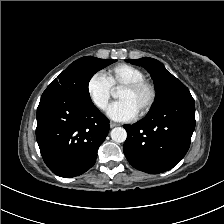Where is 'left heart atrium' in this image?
Returning a JSON list of instances; mask_svg holds the SVG:
<instances>
[{"label":"left heart atrium","instance_id":"39dd6f15","mask_svg":"<svg viewBox=\"0 0 224 224\" xmlns=\"http://www.w3.org/2000/svg\"><path fill=\"white\" fill-rule=\"evenodd\" d=\"M107 115L115 121H130L138 116V111L130 102L119 100L108 107Z\"/></svg>","mask_w":224,"mask_h":224}]
</instances>
